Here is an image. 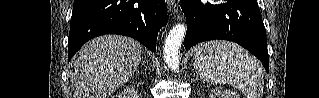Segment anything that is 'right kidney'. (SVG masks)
<instances>
[{
	"label": "right kidney",
	"instance_id": "obj_1",
	"mask_svg": "<svg viewBox=\"0 0 319 98\" xmlns=\"http://www.w3.org/2000/svg\"><path fill=\"white\" fill-rule=\"evenodd\" d=\"M132 93H135V90H132ZM116 98H125V94H119Z\"/></svg>",
	"mask_w": 319,
	"mask_h": 98
}]
</instances>
